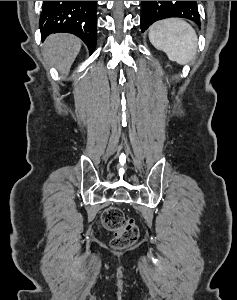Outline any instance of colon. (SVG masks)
<instances>
[{"label": "colon", "mask_w": 237, "mask_h": 300, "mask_svg": "<svg viewBox=\"0 0 237 300\" xmlns=\"http://www.w3.org/2000/svg\"><path fill=\"white\" fill-rule=\"evenodd\" d=\"M101 219L103 226L114 234L111 241L114 249H126L137 242L138 227L133 219L125 218L120 208L112 206L105 209Z\"/></svg>", "instance_id": "5ec220e1"}]
</instances>
